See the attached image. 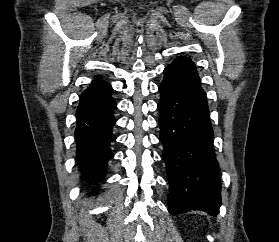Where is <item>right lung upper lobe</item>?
<instances>
[{
  "label": "right lung upper lobe",
  "mask_w": 279,
  "mask_h": 242,
  "mask_svg": "<svg viewBox=\"0 0 279 242\" xmlns=\"http://www.w3.org/2000/svg\"><path fill=\"white\" fill-rule=\"evenodd\" d=\"M109 84L100 80V79H95L93 80V82L91 83L90 87L87 88L83 93L82 95H86V94H89V93H92L94 91H97L105 86H108Z\"/></svg>",
  "instance_id": "1"
}]
</instances>
